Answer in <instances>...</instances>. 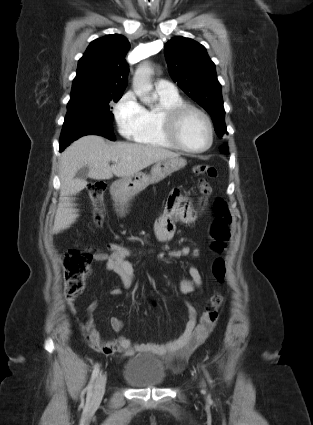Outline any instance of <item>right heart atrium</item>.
<instances>
[{"label":"right heart atrium","instance_id":"right-heart-atrium-1","mask_svg":"<svg viewBox=\"0 0 313 425\" xmlns=\"http://www.w3.org/2000/svg\"><path fill=\"white\" fill-rule=\"evenodd\" d=\"M113 113L119 132L127 138H135L145 127V108L131 91L120 98Z\"/></svg>","mask_w":313,"mask_h":425}]
</instances>
